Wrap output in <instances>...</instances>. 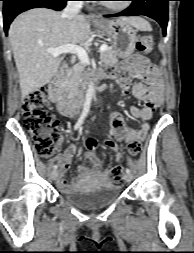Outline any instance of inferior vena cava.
Segmentation results:
<instances>
[{
  "instance_id": "obj_1",
  "label": "inferior vena cava",
  "mask_w": 194,
  "mask_h": 253,
  "mask_svg": "<svg viewBox=\"0 0 194 253\" xmlns=\"http://www.w3.org/2000/svg\"><path fill=\"white\" fill-rule=\"evenodd\" d=\"M82 8V1H68L63 10L62 16L68 20L75 18Z\"/></svg>"
}]
</instances>
